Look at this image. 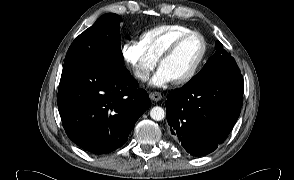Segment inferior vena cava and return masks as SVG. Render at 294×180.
<instances>
[{
	"label": "inferior vena cava",
	"mask_w": 294,
	"mask_h": 180,
	"mask_svg": "<svg viewBox=\"0 0 294 180\" xmlns=\"http://www.w3.org/2000/svg\"><path fill=\"white\" fill-rule=\"evenodd\" d=\"M135 76L142 79V80H146V78H147V75L144 72H141V71H136Z\"/></svg>",
	"instance_id": "602c4592"
}]
</instances>
